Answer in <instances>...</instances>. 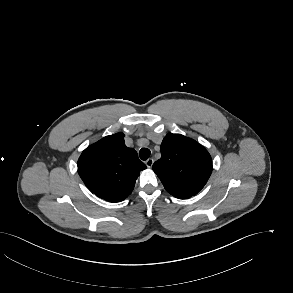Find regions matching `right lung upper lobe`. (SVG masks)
<instances>
[{
	"label": "right lung upper lobe",
	"mask_w": 293,
	"mask_h": 293,
	"mask_svg": "<svg viewBox=\"0 0 293 293\" xmlns=\"http://www.w3.org/2000/svg\"><path fill=\"white\" fill-rule=\"evenodd\" d=\"M123 138V133L104 137L85 149L77 163L78 173L88 189L109 202L127 198L140 171L146 168Z\"/></svg>",
	"instance_id": "cb5924a9"
}]
</instances>
